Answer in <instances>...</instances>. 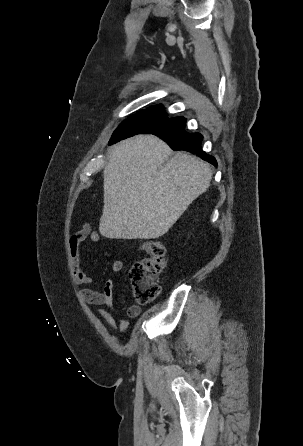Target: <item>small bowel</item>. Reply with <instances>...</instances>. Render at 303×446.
I'll list each match as a JSON object with an SVG mask.
<instances>
[{"instance_id": "obj_1", "label": "small bowel", "mask_w": 303, "mask_h": 446, "mask_svg": "<svg viewBox=\"0 0 303 446\" xmlns=\"http://www.w3.org/2000/svg\"><path fill=\"white\" fill-rule=\"evenodd\" d=\"M86 240L97 243L101 240L100 234L91 228L89 224H83L80 229L70 238L69 250L71 257V273L77 285L88 286L93 283V278L85 272L81 265V246ZM124 270V263L116 260L112 263V271L119 273ZM113 281L106 280L102 290H94L86 287L80 290L82 299L92 305L104 306L109 310H97L98 316L103 319L112 330H118L120 333L127 332L129 322L126 318H116L113 312ZM142 312L139 305L133 304L126 308L127 318H136Z\"/></svg>"}]
</instances>
